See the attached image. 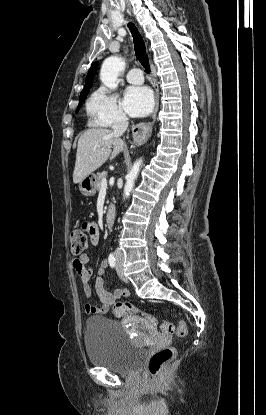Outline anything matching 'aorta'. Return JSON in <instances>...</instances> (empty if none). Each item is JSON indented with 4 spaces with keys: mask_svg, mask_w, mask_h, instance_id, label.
I'll return each instance as SVG.
<instances>
[{
    "mask_svg": "<svg viewBox=\"0 0 266 415\" xmlns=\"http://www.w3.org/2000/svg\"><path fill=\"white\" fill-rule=\"evenodd\" d=\"M124 67L125 62L118 56H110L107 59H105L100 71V79L102 83L110 89H115L118 85V75L120 71L124 69ZM141 165L142 159L137 160L133 164V167L130 170V172L127 174L126 183L124 187V199L128 198L130 193L132 192Z\"/></svg>",
    "mask_w": 266,
    "mask_h": 415,
    "instance_id": "1",
    "label": "aorta"
}]
</instances>
